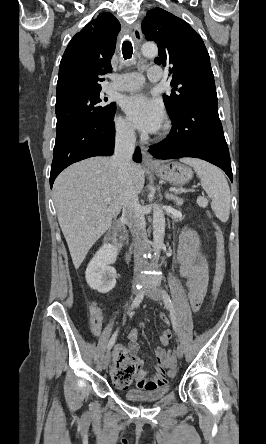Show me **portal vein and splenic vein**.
Masks as SVG:
<instances>
[{
    "mask_svg": "<svg viewBox=\"0 0 266 444\" xmlns=\"http://www.w3.org/2000/svg\"><path fill=\"white\" fill-rule=\"evenodd\" d=\"M170 191H179V190H177V189H170ZM182 192H188V191H193V190H181ZM111 201V199L110 198H107L106 199V202H110Z\"/></svg>",
    "mask_w": 266,
    "mask_h": 444,
    "instance_id": "portal-vein-and-splenic-vein-1",
    "label": "portal vein and splenic vein"
}]
</instances>
